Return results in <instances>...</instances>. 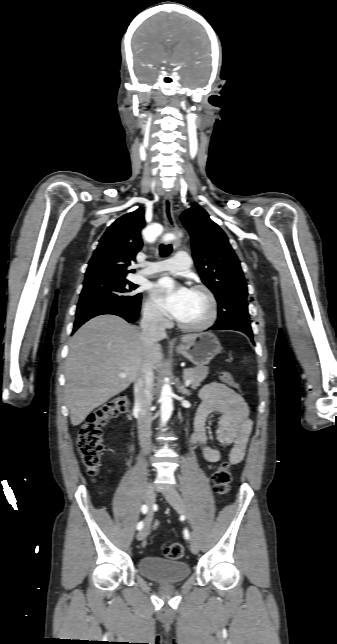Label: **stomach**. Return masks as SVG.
<instances>
[{
  "label": "stomach",
  "instance_id": "0dacf381",
  "mask_svg": "<svg viewBox=\"0 0 337 644\" xmlns=\"http://www.w3.org/2000/svg\"><path fill=\"white\" fill-rule=\"evenodd\" d=\"M176 350L194 365L204 367L221 352L222 347L214 334L206 332L197 334L192 342L181 344Z\"/></svg>",
  "mask_w": 337,
  "mask_h": 644
}]
</instances>
